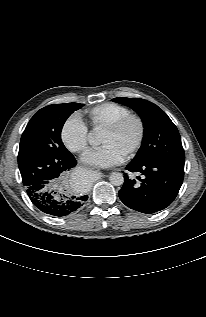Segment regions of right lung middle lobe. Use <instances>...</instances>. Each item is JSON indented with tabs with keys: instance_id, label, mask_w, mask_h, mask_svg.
<instances>
[{
	"instance_id": "right-lung-middle-lobe-1",
	"label": "right lung middle lobe",
	"mask_w": 206,
	"mask_h": 317,
	"mask_svg": "<svg viewBox=\"0 0 206 317\" xmlns=\"http://www.w3.org/2000/svg\"><path fill=\"white\" fill-rule=\"evenodd\" d=\"M84 104H54L40 109L26 126L20 141L18 166L22 179L52 173L73 156L63 145L61 130L67 118ZM69 171L62 173L56 185L66 184Z\"/></svg>"
}]
</instances>
